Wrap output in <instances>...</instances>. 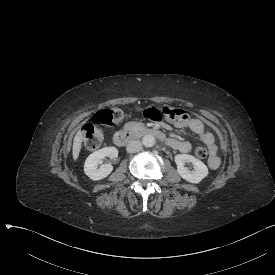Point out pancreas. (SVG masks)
I'll use <instances>...</instances> for the list:
<instances>
[{"mask_svg": "<svg viewBox=\"0 0 275 275\" xmlns=\"http://www.w3.org/2000/svg\"><path fill=\"white\" fill-rule=\"evenodd\" d=\"M145 124L137 121H130L124 124L123 130L128 133H135L144 130Z\"/></svg>", "mask_w": 275, "mask_h": 275, "instance_id": "cf45deb5", "label": "pancreas"}]
</instances>
